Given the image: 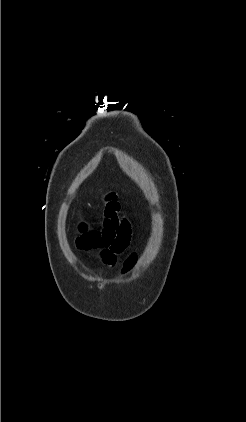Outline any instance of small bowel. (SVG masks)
<instances>
[{"instance_id":"1","label":"small bowel","mask_w":246,"mask_h":422,"mask_svg":"<svg viewBox=\"0 0 246 422\" xmlns=\"http://www.w3.org/2000/svg\"><path fill=\"white\" fill-rule=\"evenodd\" d=\"M120 206L117 202L106 206L102 228L83 233L77 240L82 250H99L102 261L107 265H115L118 256L129 246L131 225L126 219L119 217ZM134 257H129L122 265V272L127 273Z\"/></svg>"}]
</instances>
